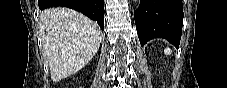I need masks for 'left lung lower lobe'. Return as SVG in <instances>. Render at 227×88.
<instances>
[{
    "label": "left lung lower lobe",
    "instance_id": "obj_1",
    "mask_svg": "<svg viewBox=\"0 0 227 88\" xmlns=\"http://www.w3.org/2000/svg\"><path fill=\"white\" fill-rule=\"evenodd\" d=\"M134 19L141 46L153 38H164L179 47L183 26L182 0H141Z\"/></svg>",
    "mask_w": 227,
    "mask_h": 88
}]
</instances>
